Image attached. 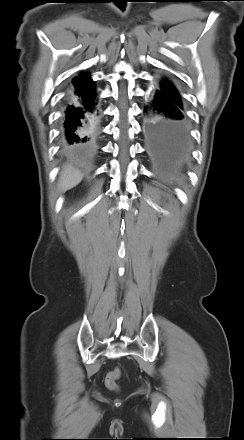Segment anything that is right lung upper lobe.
<instances>
[{
    "label": "right lung upper lobe",
    "mask_w": 244,
    "mask_h": 440,
    "mask_svg": "<svg viewBox=\"0 0 244 440\" xmlns=\"http://www.w3.org/2000/svg\"><path fill=\"white\" fill-rule=\"evenodd\" d=\"M93 81L88 75L82 74L73 80L69 95L77 98H87L95 95Z\"/></svg>",
    "instance_id": "1"
}]
</instances>
